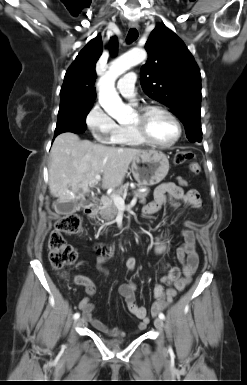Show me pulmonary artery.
Returning <instances> with one entry per match:
<instances>
[{
    "instance_id": "e3ab8cb5",
    "label": "pulmonary artery",
    "mask_w": 247,
    "mask_h": 385,
    "mask_svg": "<svg viewBox=\"0 0 247 385\" xmlns=\"http://www.w3.org/2000/svg\"><path fill=\"white\" fill-rule=\"evenodd\" d=\"M135 80H136V74L134 72H129L125 74L119 81H118V90L120 94L130 100H134L136 96L135 91Z\"/></svg>"
}]
</instances>
